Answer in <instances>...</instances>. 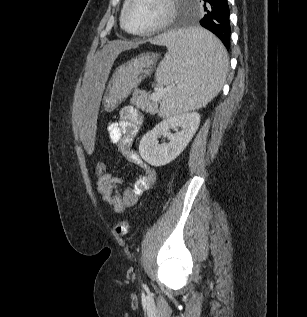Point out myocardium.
Here are the masks:
<instances>
[{"label": "myocardium", "mask_w": 307, "mask_h": 317, "mask_svg": "<svg viewBox=\"0 0 307 317\" xmlns=\"http://www.w3.org/2000/svg\"><path fill=\"white\" fill-rule=\"evenodd\" d=\"M135 0H126V3L123 6L122 12H121V26L123 27V29L131 34V35H136V36H144V35H151L153 33H156L160 30H162L163 28H165L166 26H168L174 19L175 14H176V8H175V4H174V0H165L167 6H168V12L166 14V16L163 18V20H161L159 23L155 24L154 26L142 30V31H132L128 28L127 24H126V14L127 11L130 7V5L134 2Z\"/></svg>", "instance_id": "1"}]
</instances>
